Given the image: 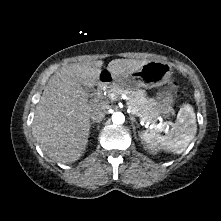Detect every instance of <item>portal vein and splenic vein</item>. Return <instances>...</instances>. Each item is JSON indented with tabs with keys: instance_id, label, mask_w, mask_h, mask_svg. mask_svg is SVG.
I'll return each instance as SVG.
<instances>
[{
	"instance_id": "portal-vein-and-splenic-vein-1",
	"label": "portal vein and splenic vein",
	"mask_w": 221,
	"mask_h": 221,
	"mask_svg": "<svg viewBox=\"0 0 221 221\" xmlns=\"http://www.w3.org/2000/svg\"><path fill=\"white\" fill-rule=\"evenodd\" d=\"M115 96H114V94H112V98H114ZM166 124V123H165ZM162 124H160V125H157V128H161L162 126H161ZM150 126H153V125H150Z\"/></svg>"
}]
</instances>
